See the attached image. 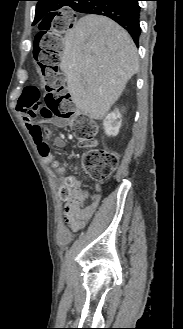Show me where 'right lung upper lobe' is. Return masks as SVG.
Here are the masks:
<instances>
[{
	"label": "right lung upper lobe",
	"mask_w": 183,
	"mask_h": 329,
	"mask_svg": "<svg viewBox=\"0 0 183 329\" xmlns=\"http://www.w3.org/2000/svg\"><path fill=\"white\" fill-rule=\"evenodd\" d=\"M37 6H36V12L39 13L38 16H35V23L41 21H45L48 16L52 13V11L58 10L61 7L69 6L72 8V5H70L69 1L71 0H37Z\"/></svg>",
	"instance_id": "right-lung-upper-lobe-1"
}]
</instances>
